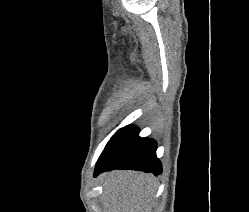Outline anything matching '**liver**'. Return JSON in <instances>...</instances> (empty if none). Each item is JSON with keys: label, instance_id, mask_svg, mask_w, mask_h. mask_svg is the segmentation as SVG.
Listing matches in <instances>:
<instances>
[{"label": "liver", "instance_id": "1", "mask_svg": "<svg viewBox=\"0 0 249 212\" xmlns=\"http://www.w3.org/2000/svg\"><path fill=\"white\" fill-rule=\"evenodd\" d=\"M101 204L106 212H152L156 180L153 174L112 170L100 174Z\"/></svg>", "mask_w": 249, "mask_h": 212}]
</instances>
